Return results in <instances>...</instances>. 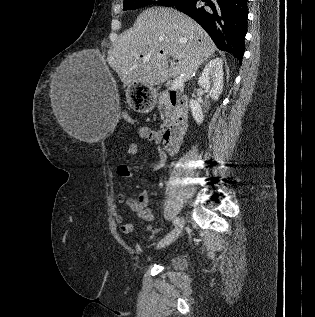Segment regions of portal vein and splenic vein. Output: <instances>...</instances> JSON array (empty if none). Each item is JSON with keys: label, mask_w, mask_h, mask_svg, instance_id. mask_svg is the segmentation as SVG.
<instances>
[{"label": "portal vein and splenic vein", "mask_w": 315, "mask_h": 317, "mask_svg": "<svg viewBox=\"0 0 315 317\" xmlns=\"http://www.w3.org/2000/svg\"><path fill=\"white\" fill-rule=\"evenodd\" d=\"M170 64L172 66L175 65V63L172 61H170ZM183 82H184L183 75H180L179 77L175 78V80L172 82L171 89L172 90L178 89L183 84Z\"/></svg>", "instance_id": "obj_1"}]
</instances>
